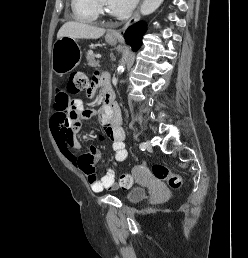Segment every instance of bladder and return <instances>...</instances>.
Wrapping results in <instances>:
<instances>
[{
    "instance_id": "1",
    "label": "bladder",
    "mask_w": 248,
    "mask_h": 258,
    "mask_svg": "<svg viewBox=\"0 0 248 258\" xmlns=\"http://www.w3.org/2000/svg\"><path fill=\"white\" fill-rule=\"evenodd\" d=\"M147 191L143 188L134 187L126 194V200L130 203H137L145 199Z\"/></svg>"
}]
</instances>
